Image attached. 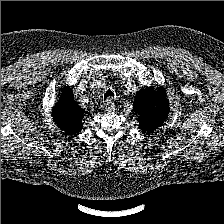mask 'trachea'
<instances>
[{
	"label": "trachea",
	"mask_w": 224,
	"mask_h": 224,
	"mask_svg": "<svg viewBox=\"0 0 224 224\" xmlns=\"http://www.w3.org/2000/svg\"><path fill=\"white\" fill-rule=\"evenodd\" d=\"M112 97H114V93L111 90H108L104 95V99L112 98Z\"/></svg>",
	"instance_id": "obj_1"
}]
</instances>
